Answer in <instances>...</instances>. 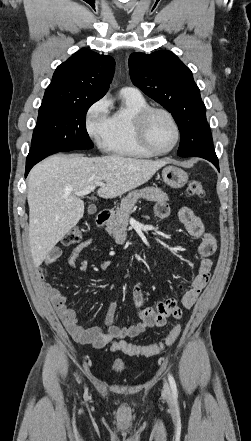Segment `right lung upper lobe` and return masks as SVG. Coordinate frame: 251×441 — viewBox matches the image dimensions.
<instances>
[{
	"label": "right lung upper lobe",
	"mask_w": 251,
	"mask_h": 441,
	"mask_svg": "<svg viewBox=\"0 0 251 441\" xmlns=\"http://www.w3.org/2000/svg\"><path fill=\"white\" fill-rule=\"evenodd\" d=\"M114 68L111 56L81 49L56 68L42 103L102 98L109 88Z\"/></svg>",
	"instance_id": "obj_1"
}]
</instances>
